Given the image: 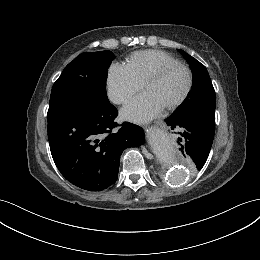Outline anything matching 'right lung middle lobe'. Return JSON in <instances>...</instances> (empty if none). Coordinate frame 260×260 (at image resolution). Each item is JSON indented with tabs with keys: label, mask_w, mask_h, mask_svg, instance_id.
I'll return each mask as SVG.
<instances>
[{
	"label": "right lung middle lobe",
	"mask_w": 260,
	"mask_h": 260,
	"mask_svg": "<svg viewBox=\"0 0 260 260\" xmlns=\"http://www.w3.org/2000/svg\"><path fill=\"white\" fill-rule=\"evenodd\" d=\"M114 55L111 51L85 52L63 70L54 83L48 115L63 111L91 112L107 106V71Z\"/></svg>",
	"instance_id": "obj_1"
}]
</instances>
